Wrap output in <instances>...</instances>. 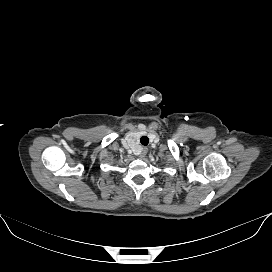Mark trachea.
Wrapping results in <instances>:
<instances>
[{
	"label": "trachea",
	"mask_w": 272,
	"mask_h": 272,
	"mask_svg": "<svg viewBox=\"0 0 272 272\" xmlns=\"http://www.w3.org/2000/svg\"><path fill=\"white\" fill-rule=\"evenodd\" d=\"M140 142H141L142 145L147 146L148 143H149V139H148L147 136H142V137L140 138Z\"/></svg>",
	"instance_id": "1"
}]
</instances>
